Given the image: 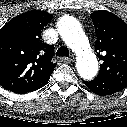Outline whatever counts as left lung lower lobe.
<instances>
[{"mask_svg":"<svg viewBox=\"0 0 127 127\" xmlns=\"http://www.w3.org/2000/svg\"><path fill=\"white\" fill-rule=\"evenodd\" d=\"M84 84L95 94L100 96L111 95L123 90L121 84L107 78L97 76L92 81H84Z\"/></svg>","mask_w":127,"mask_h":127,"instance_id":"left-lung-lower-lobe-1","label":"left lung lower lobe"}]
</instances>
